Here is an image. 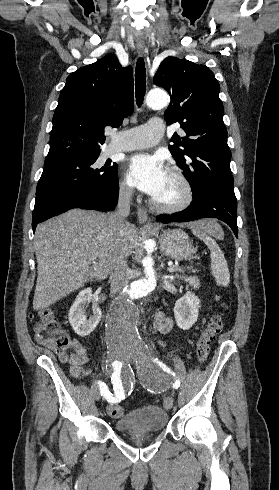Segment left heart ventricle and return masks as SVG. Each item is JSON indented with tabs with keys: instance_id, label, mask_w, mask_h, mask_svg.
<instances>
[{
	"instance_id": "b2bd125f",
	"label": "left heart ventricle",
	"mask_w": 279,
	"mask_h": 490,
	"mask_svg": "<svg viewBox=\"0 0 279 490\" xmlns=\"http://www.w3.org/2000/svg\"><path fill=\"white\" fill-rule=\"evenodd\" d=\"M183 192L181 185L168 173V183L163 195L158 198L159 201L172 203L181 198Z\"/></svg>"
}]
</instances>
